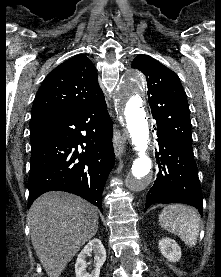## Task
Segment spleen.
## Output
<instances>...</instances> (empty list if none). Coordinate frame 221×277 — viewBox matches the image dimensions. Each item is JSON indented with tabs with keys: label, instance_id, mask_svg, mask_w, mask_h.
Listing matches in <instances>:
<instances>
[{
	"label": "spleen",
	"instance_id": "spleen-1",
	"mask_svg": "<svg viewBox=\"0 0 221 277\" xmlns=\"http://www.w3.org/2000/svg\"><path fill=\"white\" fill-rule=\"evenodd\" d=\"M199 222L200 217L196 210L186 205H169L159 216L161 227L178 235L189 247H194L197 243Z\"/></svg>",
	"mask_w": 221,
	"mask_h": 277
}]
</instances>
